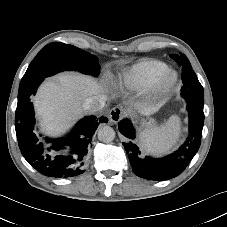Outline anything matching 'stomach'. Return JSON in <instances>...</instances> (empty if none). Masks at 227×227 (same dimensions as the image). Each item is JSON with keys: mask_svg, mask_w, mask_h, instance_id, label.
<instances>
[{"mask_svg": "<svg viewBox=\"0 0 227 227\" xmlns=\"http://www.w3.org/2000/svg\"><path fill=\"white\" fill-rule=\"evenodd\" d=\"M156 127V122L151 117H146L141 119V128L144 132L153 130Z\"/></svg>", "mask_w": 227, "mask_h": 227, "instance_id": "0dacf381", "label": "stomach"}]
</instances>
